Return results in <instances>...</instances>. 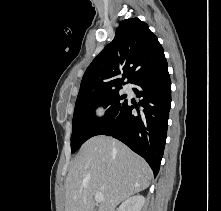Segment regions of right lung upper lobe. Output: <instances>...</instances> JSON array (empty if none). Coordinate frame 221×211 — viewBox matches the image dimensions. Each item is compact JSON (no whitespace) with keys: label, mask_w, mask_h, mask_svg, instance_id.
Instances as JSON below:
<instances>
[{"label":"right lung upper lobe","mask_w":221,"mask_h":211,"mask_svg":"<svg viewBox=\"0 0 221 211\" xmlns=\"http://www.w3.org/2000/svg\"><path fill=\"white\" fill-rule=\"evenodd\" d=\"M165 65L164 50L148 25L138 18L123 20L113 41L88 66L78 97L120 89L125 78L133 83Z\"/></svg>","instance_id":"1"}]
</instances>
